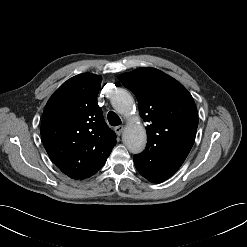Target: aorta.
Here are the masks:
<instances>
[{"mask_svg":"<svg viewBox=\"0 0 247 247\" xmlns=\"http://www.w3.org/2000/svg\"><path fill=\"white\" fill-rule=\"evenodd\" d=\"M113 108L126 118L131 117V112L134 109V100L131 94L119 89L112 98ZM123 142L132 153H140L144 150L147 143V134L143 125L139 122V118L129 121L124 133Z\"/></svg>","mask_w":247,"mask_h":247,"instance_id":"762f6f07","label":"aorta"}]
</instances>
